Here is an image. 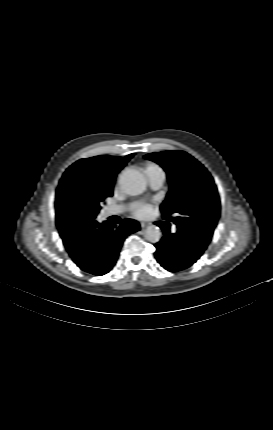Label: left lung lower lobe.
<instances>
[{
    "instance_id": "1",
    "label": "left lung lower lobe",
    "mask_w": 273,
    "mask_h": 430,
    "mask_svg": "<svg viewBox=\"0 0 273 430\" xmlns=\"http://www.w3.org/2000/svg\"><path fill=\"white\" fill-rule=\"evenodd\" d=\"M164 231L161 241L155 244L157 261L166 270L177 272L188 268L194 264L207 245L202 243L186 227H178L176 233H170L168 227L162 223H157Z\"/></svg>"
}]
</instances>
